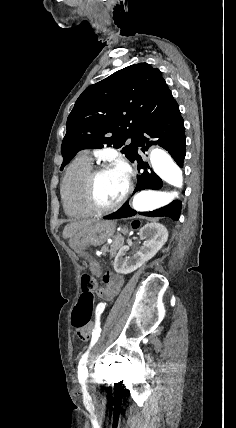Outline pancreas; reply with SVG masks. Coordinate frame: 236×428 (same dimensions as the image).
<instances>
[{"label":"pancreas","mask_w":236,"mask_h":428,"mask_svg":"<svg viewBox=\"0 0 236 428\" xmlns=\"http://www.w3.org/2000/svg\"><path fill=\"white\" fill-rule=\"evenodd\" d=\"M120 240H122V236H116V238H113L111 246H108V244H106V246H102L101 252L103 256H106L107 252H109L110 258H114L118 248H120V246H118V242H120Z\"/></svg>","instance_id":"pancreas-1"}]
</instances>
